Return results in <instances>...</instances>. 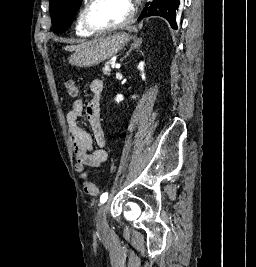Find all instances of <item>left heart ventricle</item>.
Here are the masks:
<instances>
[{
    "label": "left heart ventricle",
    "mask_w": 256,
    "mask_h": 267,
    "mask_svg": "<svg viewBox=\"0 0 256 267\" xmlns=\"http://www.w3.org/2000/svg\"><path fill=\"white\" fill-rule=\"evenodd\" d=\"M88 16L96 26L106 27L127 21L130 8L120 1L99 0L91 6Z\"/></svg>",
    "instance_id": "obj_1"
}]
</instances>
